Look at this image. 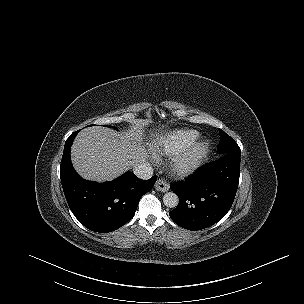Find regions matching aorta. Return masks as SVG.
Masks as SVG:
<instances>
[{
    "label": "aorta",
    "mask_w": 304,
    "mask_h": 304,
    "mask_svg": "<svg viewBox=\"0 0 304 304\" xmlns=\"http://www.w3.org/2000/svg\"><path fill=\"white\" fill-rule=\"evenodd\" d=\"M163 203L168 208H175L179 203V198L174 192H167L163 196Z\"/></svg>",
    "instance_id": "762f6f07"
}]
</instances>
